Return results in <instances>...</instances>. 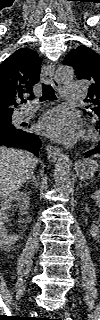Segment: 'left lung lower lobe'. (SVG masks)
Here are the masks:
<instances>
[{"label": "left lung lower lobe", "instance_id": "1", "mask_svg": "<svg viewBox=\"0 0 100 320\" xmlns=\"http://www.w3.org/2000/svg\"><path fill=\"white\" fill-rule=\"evenodd\" d=\"M96 128L99 129V132H100V121L98 122V125L96 126ZM97 153H100V141H99L97 147H95L93 150H90V151L84 153V155L90 156V155L97 154Z\"/></svg>", "mask_w": 100, "mask_h": 320}]
</instances>
